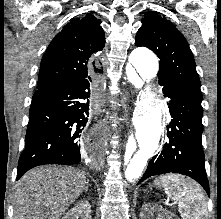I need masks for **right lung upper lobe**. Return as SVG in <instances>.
I'll return each instance as SVG.
<instances>
[{
    "instance_id": "1",
    "label": "right lung upper lobe",
    "mask_w": 221,
    "mask_h": 219,
    "mask_svg": "<svg viewBox=\"0 0 221 219\" xmlns=\"http://www.w3.org/2000/svg\"><path fill=\"white\" fill-rule=\"evenodd\" d=\"M105 45L100 20L87 14L68 23L49 44L43 55L37 89H46L88 78L97 73L100 62L95 53Z\"/></svg>"
}]
</instances>
